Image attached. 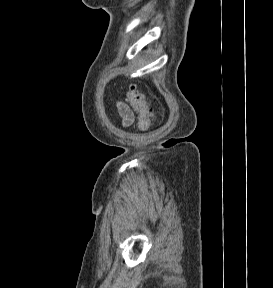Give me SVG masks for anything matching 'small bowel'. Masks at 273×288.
<instances>
[{"mask_svg": "<svg viewBox=\"0 0 273 288\" xmlns=\"http://www.w3.org/2000/svg\"><path fill=\"white\" fill-rule=\"evenodd\" d=\"M118 112L122 118L123 126L129 127L134 121V114L132 110L125 103L119 102L117 104Z\"/></svg>", "mask_w": 273, "mask_h": 288, "instance_id": "c3829d8e", "label": "small bowel"}]
</instances>
